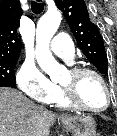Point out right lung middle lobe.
Wrapping results in <instances>:
<instances>
[{
    "label": "right lung middle lobe",
    "mask_w": 117,
    "mask_h": 136,
    "mask_svg": "<svg viewBox=\"0 0 117 136\" xmlns=\"http://www.w3.org/2000/svg\"><path fill=\"white\" fill-rule=\"evenodd\" d=\"M18 59L0 58V85L15 86L14 69Z\"/></svg>",
    "instance_id": "1"
}]
</instances>
